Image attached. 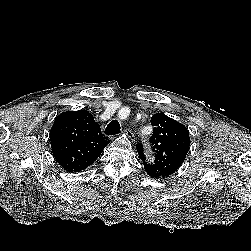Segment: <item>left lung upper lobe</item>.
<instances>
[{"label":"left lung upper lobe","mask_w":251,"mask_h":251,"mask_svg":"<svg viewBox=\"0 0 251 251\" xmlns=\"http://www.w3.org/2000/svg\"><path fill=\"white\" fill-rule=\"evenodd\" d=\"M150 122L154 126L150 138L155 152L154 162H146L142 144L137 145V151L146 172L152 178L163 179L182 165L190 146L189 132L183 124L162 113L154 114Z\"/></svg>","instance_id":"1"}]
</instances>
